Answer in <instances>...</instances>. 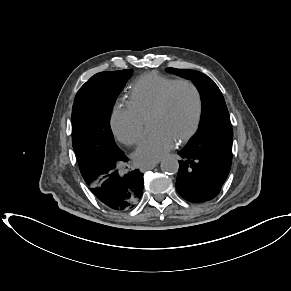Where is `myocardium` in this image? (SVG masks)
<instances>
[{
    "label": "myocardium",
    "instance_id": "1",
    "mask_svg": "<svg viewBox=\"0 0 291 291\" xmlns=\"http://www.w3.org/2000/svg\"><path fill=\"white\" fill-rule=\"evenodd\" d=\"M179 86H186L188 87L192 92L195 97V104H196V110H195V118L193 121L192 126L189 128L188 131L183 133L178 139V143H183L188 141L190 138H192L195 133L198 131L201 120H202V115H203V100H202V95L197 87V85L192 82L191 80L188 79H180L174 81L162 94L161 99L159 101V104L157 107L153 110V112L150 115V118L156 117L163 115L167 112L170 106V99L172 96V93L174 90L179 87Z\"/></svg>",
    "mask_w": 291,
    "mask_h": 291
}]
</instances>
